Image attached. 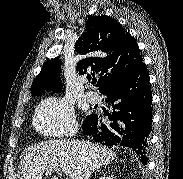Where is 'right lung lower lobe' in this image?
<instances>
[{
    "label": "right lung lower lobe",
    "mask_w": 183,
    "mask_h": 179,
    "mask_svg": "<svg viewBox=\"0 0 183 179\" xmlns=\"http://www.w3.org/2000/svg\"><path fill=\"white\" fill-rule=\"evenodd\" d=\"M106 102L113 106L109 120L102 123L96 114L83 122L86 135L106 146H124L133 149L144 165L152 124V92L149 75L143 63L134 73L108 85L101 91Z\"/></svg>",
    "instance_id": "obj_1"
}]
</instances>
